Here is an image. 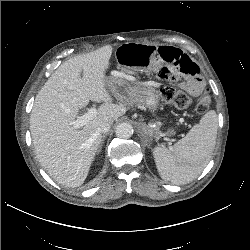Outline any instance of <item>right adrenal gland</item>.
<instances>
[{"label": "right adrenal gland", "instance_id": "1", "mask_svg": "<svg viewBox=\"0 0 250 250\" xmlns=\"http://www.w3.org/2000/svg\"><path fill=\"white\" fill-rule=\"evenodd\" d=\"M106 136H107V134H104V135L102 136L101 143H100L99 148H98V150H97L98 153H99V152L101 151V149H102V146H103V143H104V139H105Z\"/></svg>", "mask_w": 250, "mask_h": 250}]
</instances>
